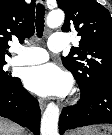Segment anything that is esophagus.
<instances>
[{
	"instance_id": "obj_1",
	"label": "esophagus",
	"mask_w": 112,
	"mask_h": 135,
	"mask_svg": "<svg viewBox=\"0 0 112 135\" xmlns=\"http://www.w3.org/2000/svg\"><path fill=\"white\" fill-rule=\"evenodd\" d=\"M42 3H44V0H41ZM40 109L43 110L45 108L46 103L43 100L39 101Z\"/></svg>"
}]
</instances>
